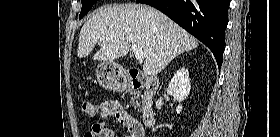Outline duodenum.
Returning a JSON list of instances; mask_svg holds the SVG:
<instances>
[{
	"label": "duodenum",
	"mask_w": 280,
	"mask_h": 137,
	"mask_svg": "<svg viewBox=\"0 0 280 137\" xmlns=\"http://www.w3.org/2000/svg\"><path fill=\"white\" fill-rule=\"evenodd\" d=\"M128 87L131 90H144L145 100H149L157 92L160 82L155 77L142 76L136 72L128 74L127 78ZM155 111L151 107H145L142 112V120L145 126L152 127L155 123Z\"/></svg>",
	"instance_id": "410a0bca"
}]
</instances>
